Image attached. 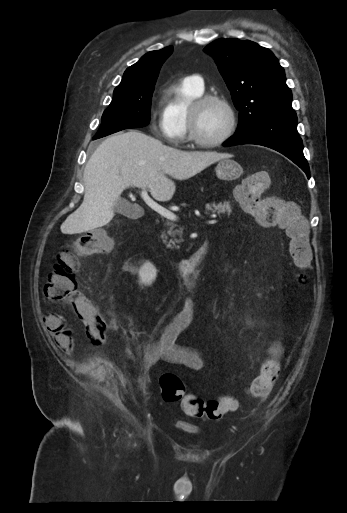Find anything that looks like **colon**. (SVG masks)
I'll list each match as a JSON object with an SVG mask.
<instances>
[{"mask_svg": "<svg viewBox=\"0 0 347 513\" xmlns=\"http://www.w3.org/2000/svg\"><path fill=\"white\" fill-rule=\"evenodd\" d=\"M268 185L264 174H250L245 181L237 185V200L244 210L255 216L263 227L276 226L283 229L289 238V250L296 268L299 270L298 281L305 283L304 271L312 260L305 221L300 216L297 206L278 198H263V189ZM113 246L112 238L103 230L84 233L71 250L58 254L52 270L44 285L45 295L69 307L75 308V315L80 317V324L87 328L90 341L97 346L106 342V327L94 300H85L77 289L76 273L79 257L109 251ZM269 358L261 365L260 374L249 385V393L259 399L266 398L276 381L283 356V349L276 342L266 346ZM162 398L167 403L180 402L184 413L190 417H206L211 420L221 419L226 413L236 409V401L229 396L219 399L204 400L186 393L182 379L170 372L160 376Z\"/></svg>", "mask_w": 347, "mask_h": 513, "instance_id": "1", "label": "colon"}]
</instances>
